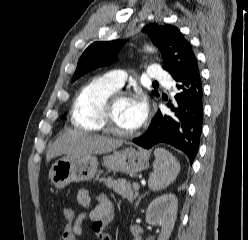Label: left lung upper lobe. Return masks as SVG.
Returning <instances> with one entry per match:
<instances>
[{"instance_id": "obj_1", "label": "left lung upper lobe", "mask_w": 248, "mask_h": 240, "mask_svg": "<svg viewBox=\"0 0 248 240\" xmlns=\"http://www.w3.org/2000/svg\"><path fill=\"white\" fill-rule=\"evenodd\" d=\"M143 31L147 32L153 44L161 49L165 64L163 68L173 79L180 77L196 60L191 44L177 27L170 24H149ZM123 44L124 41L121 40L92 43L80 57L73 80L98 66L112 63ZM153 94L159 96L157 91H153Z\"/></svg>"}]
</instances>
